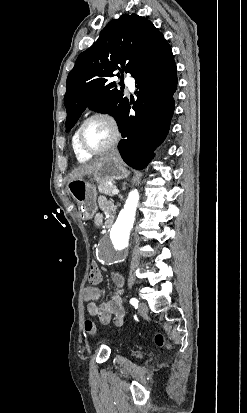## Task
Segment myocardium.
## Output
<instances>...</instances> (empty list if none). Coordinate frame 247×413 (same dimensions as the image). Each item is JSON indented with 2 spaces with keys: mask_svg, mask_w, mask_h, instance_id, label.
<instances>
[{
  "mask_svg": "<svg viewBox=\"0 0 247 413\" xmlns=\"http://www.w3.org/2000/svg\"><path fill=\"white\" fill-rule=\"evenodd\" d=\"M106 121L108 122L112 128H113V136L111 138V140L109 141V143H107L105 146H103L102 148L99 149H89L87 148L83 142H82V132L84 130V128L91 122L93 121ZM121 139V130L119 127V124L117 123V121L109 114L104 113V112H97L94 113L93 115H91L90 117H88L82 124L81 126L78 128L77 132H76V141H77V146L79 148V150L87 155V156H97V155H101L107 151H109L110 149L114 148L120 141Z\"/></svg>",
  "mask_w": 247,
  "mask_h": 413,
  "instance_id": "f54148a6",
  "label": "myocardium"
}]
</instances>
